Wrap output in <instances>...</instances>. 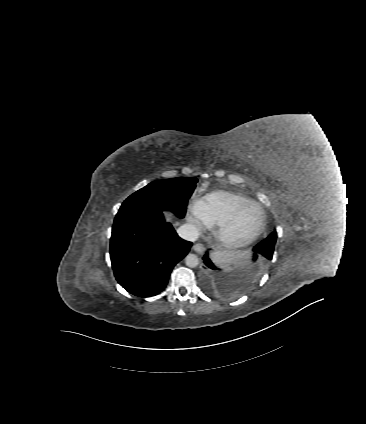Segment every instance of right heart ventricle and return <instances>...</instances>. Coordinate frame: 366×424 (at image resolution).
<instances>
[{"instance_id": "e07e8e85", "label": "right heart ventricle", "mask_w": 366, "mask_h": 424, "mask_svg": "<svg viewBox=\"0 0 366 424\" xmlns=\"http://www.w3.org/2000/svg\"><path fill=\"white\" fill-rule=\"evenodd\" d=\"M247 203H254L249 197L236 192L216 191L201 201L200 216L208 226H218L227 220L235 210Z\"/></svg>"}]
</instances>
